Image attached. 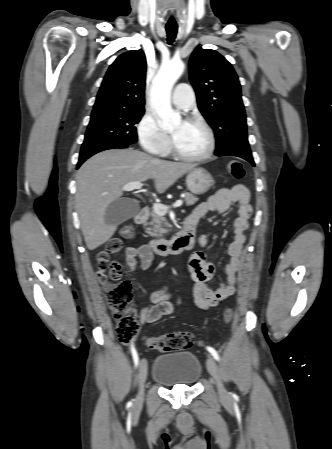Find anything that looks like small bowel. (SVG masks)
I'll list each match as a JSON object with an SVG mask.
<instances>
[{
  "label": "small bowel",
  "instance_id": "1",
  "mask_svg": "<svg viewBox=\"0 0 332 449\" xmlns=\"http://www.w3.org/2000/svg\"><path fill=\"white\" fill-rule=\"evenodd\" d=\"M249 198V191L243 185L223 188L207 201L197 205L189 217L196 226L200 219L209 212L224 213L232 204H237L238 206V216L235 219L233 228L234 237L229 247L231 259L225 269V282L217 288L210 286L209 281L214 273V265L208 261L203 252H196L190 258L189 270L193 281L192 299L194 305L200 309L206 310L213 307L235 292L237 272L244 261L242 250L246 241V231L249 226L248 220L252 213ZM194 241L201 247L207 244V238L204 235L197 237ZM125 253L126 265L131 271L136 269L138 263L143 270H149L153 266L154 254L147 245L139 247L129 246L125 249ZM149 301L152 305L145 306L140 311V322L142 324L155 322L173 312V304L164 288L154 290L149 296Z\"/></svg>",
  "mask_w": 332,
  "mask_h": 449
}]
</instances>
